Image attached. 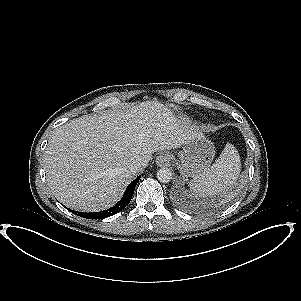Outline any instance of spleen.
<instances>
[{"mask_svg":"<svg viewBox=\"0 0 301 301\" xmlns=\"http://www.w3.org/2000/svg\"><path fill=\"white\" fill-rule=\"evenodd\" d=\"M241 171L240 157L235 147L228 143L219 158L190 181V189L200 197L227 192Z\"/></svg>","mask_w":301,"mask_h":301,"instance_id":"spleen-1","label":"spleen"}]
</instances>
